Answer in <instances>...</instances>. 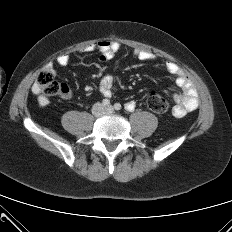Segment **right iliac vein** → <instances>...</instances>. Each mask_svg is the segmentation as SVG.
Returning <instances> with one entry per match:
<instances>
[{"label":"right iliac vein","mask_w":232,"mask_h":232,"mask_svg":"<svg viewBox=\"0 0 232 232\" xmlns=\"http://www.w3.org/2000/svg\"><path fill=\"white\" fill-rule=\"evenodd\" d=\"M104 111V108L101 104H96L94 107H93V114L95 116H99L103 113Z\"/></svg>","instance_id":"right-iliac-vein-1"}]
</instances>
